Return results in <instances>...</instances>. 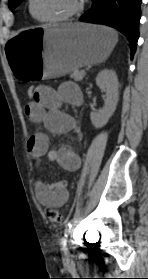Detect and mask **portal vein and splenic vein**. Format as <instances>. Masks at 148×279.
<instances>
[{
	"label": "portal vein and splenic vein",
	"instance_id": "obj_1",
	"mask_svg": "<svg viewBox=\"0 0 148 279\" xmlns=\"http://www.w3.org/2000/svg\"><path fill=\"white\" fill-rule=\"evenodd\" d=\"M82 75H85V71L82 72Z\"/></svg>",
	"mask_w": 148,
	"mask_h": 279
}]
</instances>
